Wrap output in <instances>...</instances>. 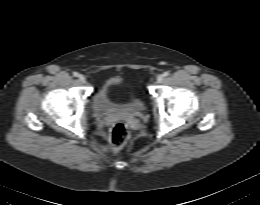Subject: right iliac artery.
Instances as JSON below:
<instances>
[{
  "instance_id": "obj_1",
  "label": "right iliac artery",
  "mask_w": 260,
  "mask_h": 205,
  "mask_svg": "<svg viewBox=\"0 0 260 205\" xmlns=\"http://www.w3.org/2000/svg\"><path fill=\"white\" fill-rule=\"evenodd\" d=\"M73 76L78 77L79 76L78 72H73Z\"/></svg>"
}]
</instances>
